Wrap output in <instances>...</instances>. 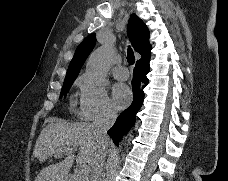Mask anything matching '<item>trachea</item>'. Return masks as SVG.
Instances as JSON below:
<instances>
[{
	"mask_svg": "<svg viewBox=\"0 0 228 181\" xmlns=\"http://www.w3.org/2000/svg\"><path fill=\"white\" fill-rule=\"evenodd\" d=\"M127 62L129 65H133L135 63V57H134V52L131 47H128L127 49Z\"/></svg>",
	"mask_w": 228,
	"mask_h": 181,
	"instance_id": "obj_1",
	"label": "trachea"
}]
</instances>
